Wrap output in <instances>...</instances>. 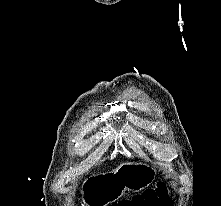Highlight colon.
Masks as SVG:
<instances>
[{"label":"colon","mask_w":221,"mask_h":206,"mask_svg":"<svg viewBox=\"0 0 221 206\" xmlns=\"http://www.w3.org/2000/svg\"><path fill=\"white\" fill-rule=\"evenodd\" d=\"M170 203L171 201L165 192V186L160 182L155 188L147 189L131 200H121L111 206H170Z\"/></svg>","instance_id":"obj_1"}]
</instances>
